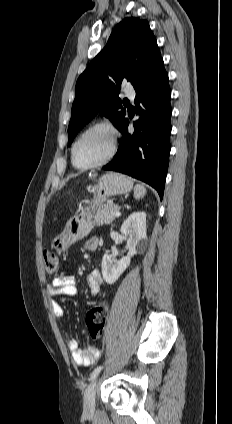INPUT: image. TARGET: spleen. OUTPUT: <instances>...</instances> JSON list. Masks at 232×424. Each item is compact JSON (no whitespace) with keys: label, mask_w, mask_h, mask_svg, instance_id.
<instances>
[{"label":"spleen","mask_w":232,"mask_h":424,"mask_svg":"<svg viewBox=\"0 0 232 424\" xmlns=\"http://www.w3.org/2000/svg\"><path fill=\"white\" fill-rule=\"evenodd\" d=\"M146 194V188L141 185V184H137L134 187V197L135 199L139 200L140 198H143Z\"/></svg>","instance_id":"obj_1"}]
</instances>
